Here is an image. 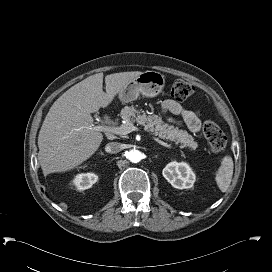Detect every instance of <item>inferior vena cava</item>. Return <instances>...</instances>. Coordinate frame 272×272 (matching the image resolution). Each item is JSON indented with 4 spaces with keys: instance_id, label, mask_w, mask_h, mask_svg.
Returning a JSON list of instances; mask_svg holds the SVG:
<instances>
[{
    "instance_id": "602c4592",
    "label": "inferior vena cava",
    "mask_w": 272,
    "mask_h": 272,
    "mask_svg": "<svg viewBox=\"0 0 272 272\" xmlns=\"http://www.w3.org/2000/svg\"><path fill=\"white\" fill-rule=\"evenodd\" d=\"M105 150L109 153H118L122 150V146L118 142H110L106 145Z\"/></svg>"
}]
</instances>
